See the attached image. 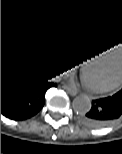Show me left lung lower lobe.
Returning a JSON list of instances; mask_svg holds the SVG:
<instances>
[{
    "instance_id": "left-lung-lower-lobe-1",
    "label": "left lung lower lobe",
    "mask_w": 122,
    "mask_h": 154,
    "mask_svg": "<svg viewBox=\"0 0 122 154\" xmlns=\"http://www.w3.org/2000/svg\"><path fill=\"white\" fill-rule=\"evenodd\" d=\"M122 116V89L115 95L92 101L88 113L81 117L82 123L91 128H101L112 124Z\"/></svg>"
}]
</instances>
